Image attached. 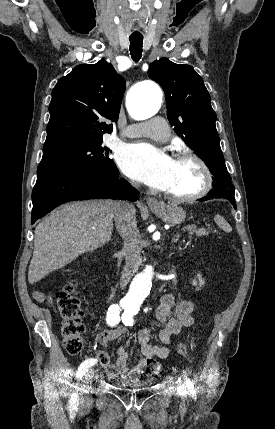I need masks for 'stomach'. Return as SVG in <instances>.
Returning <instances> with one entry per match:
<instances>
[{"label":"stomach","mask_w":275,"mask_h":429,"mask_svg":"<svg viewBox=\"0 0 275 429\" xmlns=\"http://www.w3.org/2000/svg\"><path fill=\"white\" fill-rule=\"evenodd\" d=\"M151 210L164 222L172 225H179L186 218L184 210L174 204H161L158 208H151Z\"/></svg>","instance_id":"1"}]
</instances>
